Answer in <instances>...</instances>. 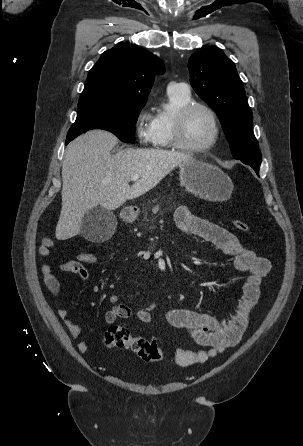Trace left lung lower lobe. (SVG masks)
<instances>
[{"instance_id":"0a47b994","label":"left lung lower lobe","mask_w":303,"mask_h":446,"mask_svg":"<svg viewBox=\"0 0 303 446\" xmlns=\"http://www.w3.org/2000/svg\"><path fill=\"white\" fill-rule=\"evenodd\" d=\"M257 173V175L259 174V171H255Z\"/></svg>"}]
</instances>
